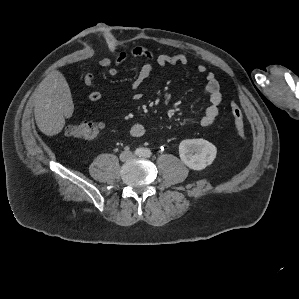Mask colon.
<instances>
[{
  "instance_id": "colon-1",
  "label": "colon",
  "mask_w": 299,
  "mask_h": 299,
  "mask_svg": "<svg viewBox=\"0 0 299 299\" xmlns=\"http://www.w3.org/2000/svg\"><path fill=\"white\" fill-rule=\"evenodd\" d=\"M231 111L234 120L235 134L238 138H243L245 135L244 116L240 106L235 101L231 104ZM102 128L101 123L81 121L68 124L64 132L67 136L88 140L96 138Z\"/></svg>"
}]
</instances>
